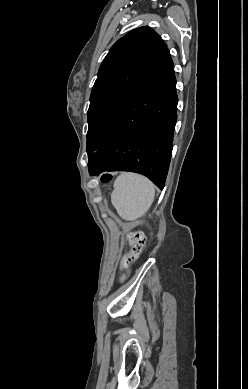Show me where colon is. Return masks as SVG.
Listing matches in <instances>:
<instances>
[{
  "label": "colon",
  "instance_id": "obj_1",
  "mask_svg": "<svg viewBox=\"0 0 248 389\" xmlns=\"http://www.w3.org/2000/svg\"><path fill=\"white\" fill-rule=\"evenodd\" d=\"M110 176L106 175L105 180H109ZM127 240L131 245V250L125 253L120 262V269H127L141 254L145 245V236L141 231H133L127 234Z\"/></svg>",
  "mask_w": 248,
  "mask_h": 389
}]
</instances>
